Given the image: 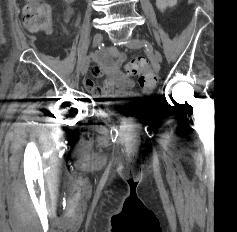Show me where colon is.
<instances>
[{"mask_svg":"<svg viewBox=\"0 0 237 232\" xmlns=\"http://www.w3.org/2000/svg\"><path fill=\"white\" fill-rule=\"evenodd\" d=\"M176 0H156L157 8L164 13L174 6ZM25 27L30 32L49 33L53 27L51 8L40 0H27L23 11ZM127 72L136 77L141 87L152 89L157 83V67L143 55L136 56L126 66Z\"/></svg>","mask_w":237,"mask_h":232,"instance_id":"1","label":"colon"}]
</instances>
